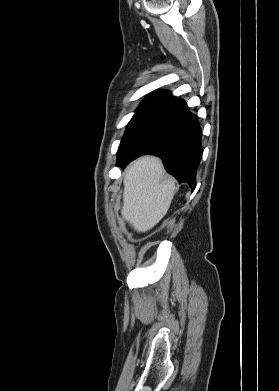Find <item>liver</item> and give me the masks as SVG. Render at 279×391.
I'll return each mask as SVG.
<instances>
[{
	"label": "liver",
	"mask_w": 279,
	"mask_h": 391,
	"mask_svg": "<svg viewBox=\"0 0 279 391\" xmlns=\"http://www.w3.org/2000/svg\"><path fill=\"white\" fill-rule=\"evenodd\" d=\"M174 190L175 181L164 179L159 158H140L125 174L122 218L138 232L149 231L166 215Z\"/></svg>",
	"instance_id": "6515ba94"
}]
</instances>
